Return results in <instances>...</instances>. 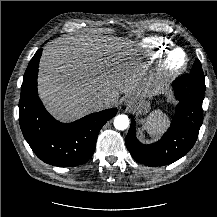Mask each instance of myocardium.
Masks as SVG:
<instances>
[{
	"label": "myocardium",
	"mask_w": 217,
	"mask_h": 217,
	"mask_svg": "<svg viewBox=\"0 0 217 217\" xmlns=\"http://www.w3.org/2000/svg\"><path fill=\"white\" fill-rule=\"evenodd\" d=\"M183 55L181 63H175L173 57L176 53ZM189 58L187 53L182 48H173L166 52L161 60V70L166 78H175L180 75L188 66Z\"/></svg>",
	"instance_id": "myocardium-1"
}]
</instances>
